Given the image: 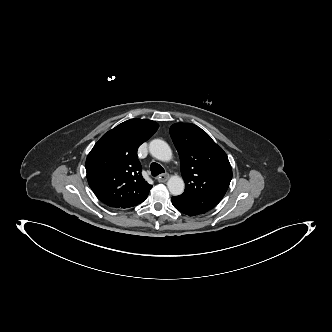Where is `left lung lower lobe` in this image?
I'll list each match as a JSON object with an SVG mask.
<instances>
[{
  "instance_id": "obj_1",
  "label": "left lung lower lobe",
  "mask_w": 332,
  "mask_h": 332,
  "mask_svg": "<svg viewBox=\"0 0 332 332\" xmlns=\"http://www.w3.org/2000/svg\"><path fill=\"white\" fill-rule=\"evenodd\" d=\"M172 204L177 210L190 216L201 215L207 212L199 207H196L188 202H185L184 200L180 199L177 196L172 197Z\"/></svg>"
}]
</instances>
